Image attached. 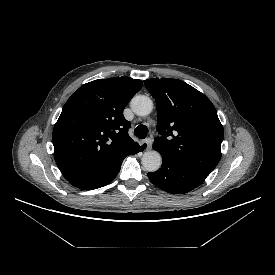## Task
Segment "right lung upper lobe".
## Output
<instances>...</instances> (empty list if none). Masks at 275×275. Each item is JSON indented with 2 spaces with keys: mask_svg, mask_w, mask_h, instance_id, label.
Here are the masks:
<instances>
[{
  "mask_svg": "<svg viewBox=\"0 0 275 275\" xmlns=\"http://www.w3.org/2000/svg\"><path fill=\"white\" fill-rule=\"evenodd\" d=\"M142 86L127 76L98 79L68 99L52 141L56 164L70 184L78 187L110 173L139 147L128 135L123 109Z\"/></svg>",
  "mask_w": 275,
  "mask_h": 275,
  "instance_id": "cb5924a9",
  "label": "right lung upper lobe"
}]
</instances>
